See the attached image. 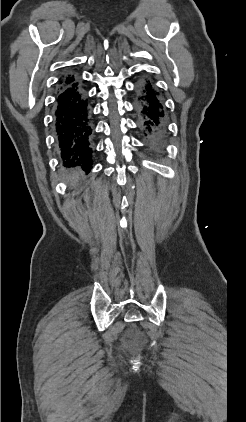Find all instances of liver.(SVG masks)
<instances>
[{"instance_id":"liver-1","label":"liver","mask_w":246,"mask_h":422,"mask_svg":"<svg viewBox=\"0 0 246 422\" xmlns=\"http://www.w3.org/2000/svg\"><path fill=\"white\" fill-rule=\"evenodd\" d=\"M82 174V171L77 169L74 170L72 175L69 177V181L72 185H75L78 182L79 176Z\"/></svg>"}]
</instances>
